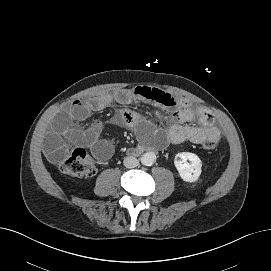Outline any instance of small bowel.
Masks as SVG:
<instances>
[{
	"instance_id": "small-bowel-1",
	"label": "small bowel",
	"mask_w": 271,
	"mask_h": 271,
	"mask_svg": "<svg viewBox=\"0 0 271 271\" xmlns=\"http://www.w3.org/2000/svg\"><path fill=\"white\" fill-rule=\"evenodd\" d=\"M148 103L165 108L172 113L168 118L158 115L154 121L130 109L118 111L109 123L134 128L141 141L151 143L155 147L179 144L189 141L201 144L220 131L214 124L213 115L203 108L194 107L190 101L173 96L158 88L136 86L130 89H119L113 92H100L88 98L74 100L70 107L59 114L48 134L44 151L48 159L57 164L66 154V142L89 148L100 161L109 159L113 153V145L101 138L105 123L98 122L84 131L73 127L74 121H85L92 112L100 111L116 104ZM195 122V124H192ZM167 124V128L163 126Z\"/></svg>"
}]
</instances>
